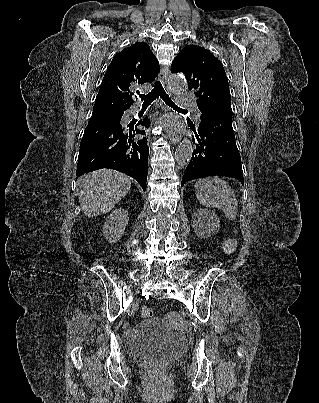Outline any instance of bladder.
<instances>
[{"mask_svg": "<svg viewBox=\"0 0 319 403\" xmlns=\"http://www.w3.org/2000/svg\"><path fill=\"white\" fill-rule=\"evenodd\" d=\"M184 338L163 318L149 317L131 331L130 351L134 360L156 362L172 358L184 348Z\"/></svg>", "mask_w": 319, "mask_h": 403, "instance_id": "1", "label": "bladder"}]
</instances>
